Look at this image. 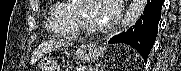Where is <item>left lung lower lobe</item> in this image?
I'll use <instances>...</instances> for the list:
<instances>
[{
    "label": "left lung lower lobe",
    "mask_w": 181,
    "mask_h": 71,
    "mask_svg": "<svg viewBox=\"0 0 181 71\" xmlns=\"http://www.w3.org/2000/svg\"><path fill=\"white\" fill-rule=\"evenodd\" d=\"M164 0H148L144 14L127 32L116 35L109 43H125L135 48L146 60L154 45L158 23L161 19V8Z\"/></svg>",
    "instance_id": "0a47b994"
}]
</instances>
